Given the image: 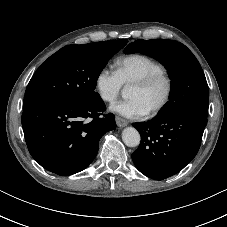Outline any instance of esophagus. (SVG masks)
Returning <instances> with one entry per match:
<instances>
[{
  "label": "esophagus",
  "mask_w": 227,
  "mask_h": 227,
  "mask_svg": "<svg viewBox=\"0 0 227 227\" xmlns=\"http://www.w3.org/2000/svg\"><path fill=\"white\" fill-rule=\"evenodd\" d=\"M116 124H117V126H119L120 128H122V127L127 126L128 125V122L126 120H124L123 118L117 116L116 117Z\"/></svg>",
  "instance_id": "obj_1"
}]
</instances>
